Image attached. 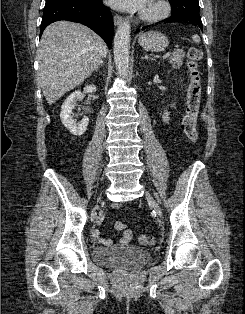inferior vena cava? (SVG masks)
<instances>
[{
  "instance_id": "inferior-vena-cava-1",
  "label": "inferior vena cava",
  "mask_w": 245,
  "mask_h": 314,
  "mask_svg": "<svg viewBox=\"0 0 245 314\" xmlns=\"http://www.w3.org/2000/svg\"><path fill=\"white\" fill-rule=\"evenodd\" d=\"M107 49L104 51L103 57H106Z\"/></svg>"
}]
</instances>
